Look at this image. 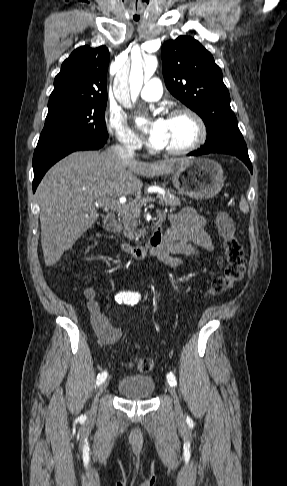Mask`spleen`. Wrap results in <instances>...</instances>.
Listing matches in <instances>:
<instances>
[{
  "label": "spleen",
  "mask_w": 287,
  "mask_h": 486,
  "mask_svg": "<svg viewBox=\"0 0 287 486\" xmlns=\"http://www.w3.org/2000/svg\"><path fill=\"white\" fill-rule=\"evenodd\" d=\"M239 208L244 214H247L249 212V205L244 196L241 197Z\"/></svg>",
  "instance_id": "3e777b00"
}]
</instances>
